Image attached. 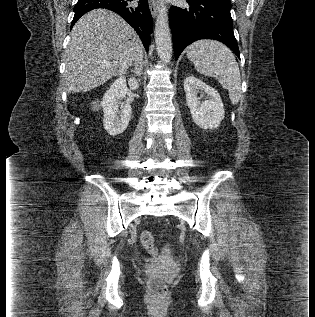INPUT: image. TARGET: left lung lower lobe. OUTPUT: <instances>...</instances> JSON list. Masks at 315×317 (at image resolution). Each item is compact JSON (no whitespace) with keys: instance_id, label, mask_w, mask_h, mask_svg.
<instances>
[{"instance_id":"0a47b994","label":"left lung lower lobe","mask_w":315,"mask_h":317,"mask_svg":"<svg viewBox=\"0 0 315 317\" xmlns=\"http://www.w3.org/2000/svg\"><path fill=\"white\" fill-rule=\"evenodd\" d=\"M188 8L172 6L169 23L177 60L183 49L199 39H214L227 45L240 59L233 32L231 3L221 0H186Z\"/></svg>"}]
</instances>
